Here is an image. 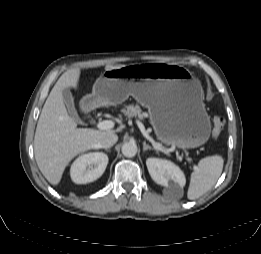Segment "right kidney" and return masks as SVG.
Wrapping results in <instances>:
<instances>
[{"mask_svg": "<svg viewBox=\"0 0 261 254\" xmlns=\"http://www.w3.org/2000/svg\"><path fill=\"white\" fill-rule=\"evenodd\" d=\"M108 156L102 152H91L79 156L71 165V179L76 184L93 182L102 176L107 164Z\"/></svg>", "mask_w": 261, "mask_h": 254, "instance_id": "right-kidney-1", "label": "right kidney"}]
</instances>
